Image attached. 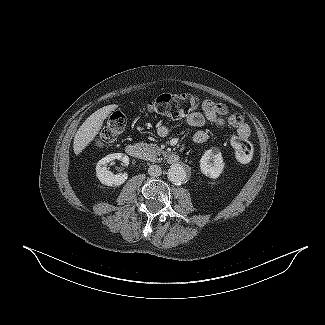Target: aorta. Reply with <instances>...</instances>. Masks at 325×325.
I'll return each instance as SVG.
<instances>
[{"instance_id":"1","label":"aorta","mask_w":325,"mask_h":325,"mask_svg":"<svg viewBox=\"0 0 325 325\" xmlns=\"http://www.w3.org/2000/svg\"><path fill=\"white\" fill-rule=\"evenodd\" d=\"M167 176L171 182L179 184L186 181L187 171L183 165L173 164L170 166Z\"/></svg>"}]
</instances>
